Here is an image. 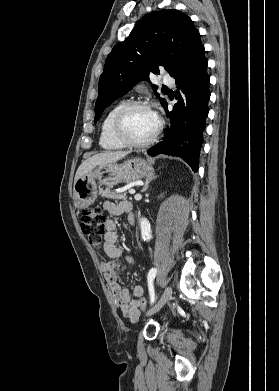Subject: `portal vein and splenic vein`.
Returning <instances> with one entry per match:
<instances>
[{
	"label": "portal vein and splenic vein",
	"instance_id": "obj_1",
	"mask_svg": "<svg viewBox=\"0 0 279 391\" xmlns=\"http://www.w3.org/2000/svg\"><path fill=\"white\" fill-rule=\"evenodd\" d=\"M128 192H129V194H135V190L134 189H129Z\"/></svg>",
	"mask_w": 279,
	"mask_h": 391
}]
</instances>
